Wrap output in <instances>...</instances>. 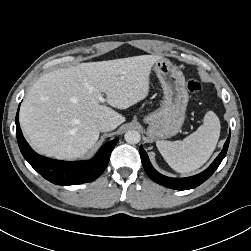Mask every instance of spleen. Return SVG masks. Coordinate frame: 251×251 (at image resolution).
Listing matches in <instances>:
<instances>
[{"mask_svg":"<svg viewBox=\"0 0 251 251\" xmlns=\"http://www.w3.org/2000/svg\"><path fill=\"white\" fill-rule=\"evenodd\" d=\"M220 121L208 111L199 128L178 141L157 140L156 146L168 165L179 173H189L200 168L212 155L220 136Z\"/></svg>","mask_w":251,"mask_h":251,"instance_id":"obj_1","label":"spleen"}]
</instances>
